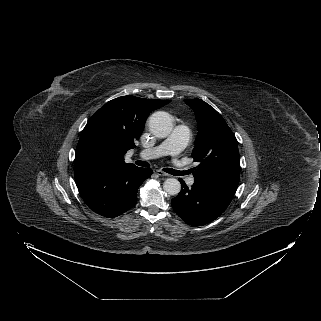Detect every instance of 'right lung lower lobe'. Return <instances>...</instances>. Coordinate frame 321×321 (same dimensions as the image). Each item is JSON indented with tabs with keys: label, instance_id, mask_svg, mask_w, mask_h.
Wrapping results in <instances>:
<instances>
[{
	"label": "right lung lower lobe",
	"instance_id": "1",
	"mask_svg": "<svg viewBox=\"0 0 321 321\" xmlns=\"http://www.w3.org/2000/svg\"><path fill=\"white\" fill-rule=\"evenodd\" d=\"M151 174V169L139 167L103 168L76 178L75 182L91 210L113 218L136 204L137 190Z\"/></svg>",
	"mask_w": 321,
	"mask_h": 321
}]
</instances>
